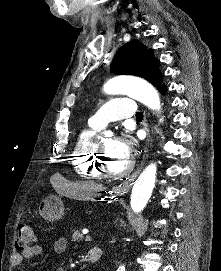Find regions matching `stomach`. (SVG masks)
Returning a JSON list of instances; mask_svg holds the SVG:
<instances>
[{"label":"stomach","mask_w":221,"mask_h":271,"mask_svg":"<svg viewBox=\"0 0 221 271\" xmlns=\"http://www.w3.org/2000/svg\"><path fill=\"white\" fill-rule=\"evenodd\" d=\"M64 205L61 201V197H44L43 207L40 209V215L45 219H58L63 215Z\"/></svg>","instance_id":"obj_1"}]
</instances>
